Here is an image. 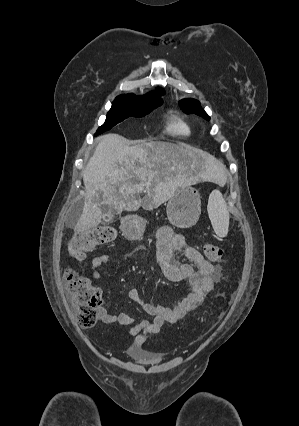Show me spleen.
I'll use <instances>...</instances> for the list:
<instances>
[{
  "mask_svg": "<svg viewBox=\"0 0 299 426\" xmlns=\"http://www.w3.org/2000/svg\"><path fill=\"white\" fill-rule=\"evenodd\" d=\"M207 211L217 236L221 238L227 236L229 228V212L226 202L219 190H214L210 194Z\"/></svg>",
  "mask_w": 299,
  "mask_h": 426,
  "instance_id": "spleen-1",
  "label": "spleen"
}]
</instances>
